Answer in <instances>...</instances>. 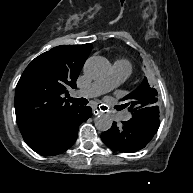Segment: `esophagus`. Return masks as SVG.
<instances>
[{"label":"esophagus","mask_w":193,"mask_h":193,"mask_svg":"<svg viewBox=\"0 0 193 193\" xmlns=\"http://www.w3.org/2000/svg\"><path fill=\"white\" fill-rule=\"evenodd\" d=\"M99 113H100V111L97 108L93 107V114L96 116Z\"/></svg>","instance_id":"34e87169"}]
</instances>
